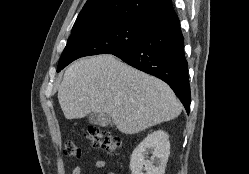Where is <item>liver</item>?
Listing matches in <instances>:
<instances>
[{
    "label": "liver",
    "mask_w": 249,
    "mask_h": 174,
    "mask_svg": "<svg viewBox=\"0 0 249 174\" xmlns=\"http://www.w3.org/2000/svg\"><path fill=\"white\" fill-rule=\"evenodd\" d=\"M58 100L66 119L107 114L124 134L178 117L182 105L160 79L103 54L80 59L65 71Z\"/></svg>",
    "instance_id": "obj_1"
}]
</instances>
